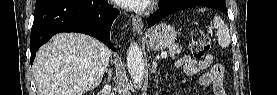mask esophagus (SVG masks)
<instances>
[{"mask_svg":"<svg viewBox=\"0 0 277 95\" xmlns=\"http://www.w3.org/2000/svg\"><path fill=\"white\" fill-rule=\"evenodd\" d=\"M143 25L144 23L139 16L137 15L132 16V27L135 32L140 33L143 28Z\"/></svg>","mask_w":277,"mask_h":95,"instance_id":"34e87169","label":"esophagus"}]
</instances>
